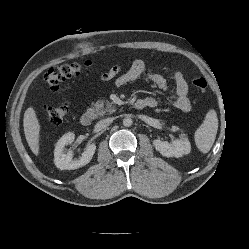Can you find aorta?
Returning <instances> with one entry per match:
<instances>
[{
	"label": "aorta",
	"mask_w": 249,
	"mask_h": 249,
	"mask_svg": "<svg viewBox=\"0 0 249 249\" xmlns=\"http://www.w3.org/2000/svg\"><path fill=\"white\" fill-rule=\"evenodd\" d=\"M132 123H133V121H132L131 118H125V119L123 120V125H124L125 127H130V126L132 125Z\"/></svg>",
	"instance_id": "762f6f07"
}]
</instances>
